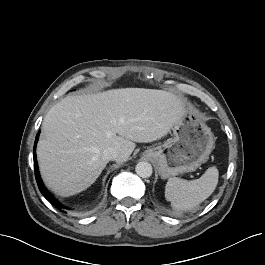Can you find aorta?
<instances>
[{"label": "aorta", "mask_w": 265, "mask_h": 265, "mask_svg": "<svg viewBox=\"0 0 265 265\" xmlns=\"http://www.w3.org/2000/svg\"><path fill=\"white\" fill-rule=\"evenodd\" d=\"M135 171L138 176L149 178L152 175L153 169L150 163L142 161L136 165Z\"/></svg>", "instance_id": "762f6f07"}]
</instances>
